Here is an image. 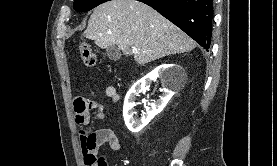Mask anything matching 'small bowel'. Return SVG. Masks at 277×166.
<instances>
[{"instance_id": "small-bowel-1", "label": "small bowel", "mask_w": 277, "mask_h": 166, "mask_svg": "<svg viewBox=\"0 0 277 166\" xmlns=\"http://www.w3.org/2000/svg\"><path fill=\"white\" fill-rule=\"evenodd\" d=\"M105 93L114 101L118 100V94L112 86H107ZM75 121L80 126L87 125L89 121V112L93 111L95 117L99 120L104 119L105 113L101 101L92 93L90 97H76L73 102ZM103 144H108L114 151L121 149V143L118 136L110 128H100L93 132L82 130L80 134L81 152L84 157L85 165L96 166L91 159L96 158V152ZM107 166L104 157L99 158Z\"/></svg>"}]
</instances>
